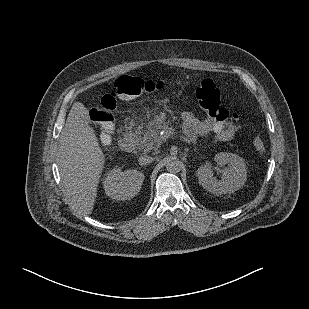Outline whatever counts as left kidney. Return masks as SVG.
<instances>
[{
	"label": "left kidney",
	"mask_w": 309,
	"mask_h": 309,
	"mask_svg": "<svg viewBox=\"0 0 309 309\" xmlns=\"http://www.w3.org/2000/svg\"><path fill=\"white\" fill-rule=\"evenodd\" d=\"M214 160L223 167L221 180L214 177L210 162L201 165L196 171L199 184L205 190L219 196L233 193L243 187L247 179V167L242 157L220 152L215 155Z\"/></svg>",
	"instance_id": "left-kidney-1"
}]
</instances>
